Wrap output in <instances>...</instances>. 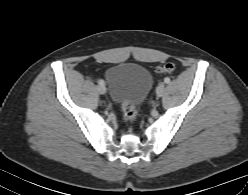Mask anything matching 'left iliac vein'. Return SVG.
<instances>
[{"instance_id": "1", "label": "left iliac vein", "mask_w": 248, "mask_h": 195, "mask_svg": "<svg viewBox=\"0 0 248 195\" xmlns=\"http://www.w3.org/2000/svg\"><path fill=\"white\" fill-rule=\"evenodd\" d=\"M164 90H165L164 84H160V85L157 87V89H156V94H157V96H158V97L163 96Z\"/></svg>"}]
</instances>
